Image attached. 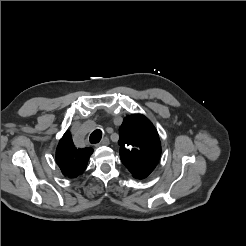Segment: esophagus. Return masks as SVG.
<instances>
[{
	"label": "esophagus",
	"instance_id": "34e87169",
	"mask_svg": "<svg viewBox=\"0 0 246 246\" xmlns=\"http://www.w3.org/2000/svg\"><path fill=\"white\" fill-rule=\"evenodd\" d=\"M110 141L107 137L103 138L100 143L98 144V146H107L109 145Z\"/></svg>",
	"mask_w": 246,
	"mask_h": 246
}]
</instances>
